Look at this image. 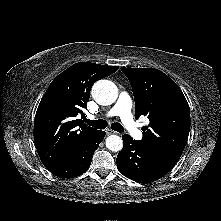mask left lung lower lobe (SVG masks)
I'll use <instances>...</instances> for the list:
<instances>
[{
	"label": "left lung lower lobe",
	"mask_w": 221,
	"mask_h": 221,
	"mask_svg": "<svg viewBox=\"0 0 221 221\" xmlns=\"http://www.w3.org/2000/svg\"><path fill=\"white\" fill-rule=\"evenodd\" d=\"M124 146L118 153V170L126 177L139 183L156 181L168 173L176 163L171 162L154 151L142 146L125 134Z\"/></svg>",
	"instance_id": "left-lung-lower-lobe-1"
}]
</instances>
